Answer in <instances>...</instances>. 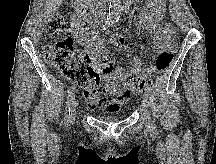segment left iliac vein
<instances>
[{"label":"left iliac vein","instance_id":"1","mask_svg":"<svg viewBox=\"0 0 216 164\" xmlns=\"http://www.w3.org/2000/svg\"><path fill=\"white\" fill-rule=\"evenodd\" d=\"M148 93H149L148 91H145V93L143 94L142 107L146 115V126L150 128V126H152V121L149 116V94Z\"/></svg>","mask_w":216,"mask_h":164}]
</instances>
